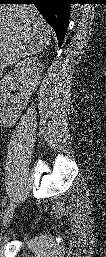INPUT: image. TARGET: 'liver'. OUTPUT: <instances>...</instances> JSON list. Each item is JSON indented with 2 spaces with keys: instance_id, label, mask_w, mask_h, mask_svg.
Masks as SVG:
<instances>
[{
  "instance_id": "liver-1",
  "label": "liver",
  "mask_w": 106,
  "mask_h": 257,
  "mask_svg": "<svg viewBox=\"0 0 106 257\" xmlns=\"http://www.w3.org/2000/svg\"><path fill=\"white\" fill-rule=\"evenodd\" d=\"M51 40V29L32 4L0 7V68L40 54Z\"/></svg>"
}]
</instances>
